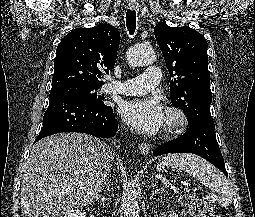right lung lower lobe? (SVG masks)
Here are the masks:
<instances>
[{"label": "right lung lower lobe", "instance_id": "1", "mask_svg": "<svg viewBox=\"0 0 255 217\" xmlns=\"http://www.w3.org/2000/svg\"><path fill=\"white\" fill-rule=\"evenodd\" d=\"M43 121L34 143L61 132H81L97 138H110L116 134L118 127L112 107H96L64 96L50 98Z\"/></svg>", "mask_w": 255, "mask_h": 217}]
</instances>
